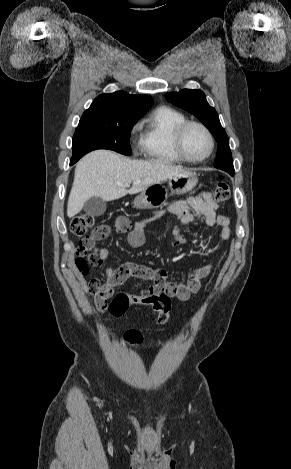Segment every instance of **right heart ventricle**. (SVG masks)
<instances>
[{
    "label": "right heart ventricle",
    "instance_id": "e07e8e85",
    "mask_svg": "<svg viewBox=\"0 0 291 469\" xmlns=\"http://www.w3.org/2000/svg\"><path fill=\"white\" fill-rule=\"evenodd\" d=\"M186 120L183 113L171 107L154 109L142 123L140 147L144 157L166 164L181 163L174 149L173 135L176 127Z\"/></svg>",
    "mask_w": 291,
    "mask_h": 469
}]
</instances>
